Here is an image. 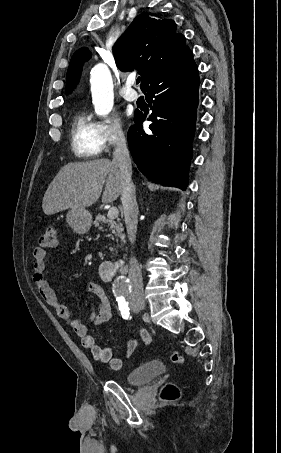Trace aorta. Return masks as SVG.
I'll use <instances>...</instances> for the list:
<instances>
[{"mask_svg":"<svg viewBox=\"0 0 281 453\" xmlns=\"http://www.w3.org/2000/svg\"><path fill=\"white\" fill-rule=\"evenodd\" d=\"M92 102L97 115L105 117L113 108L114 93L111 73L105 64H97L91 70ZM116 291H126L128 284L118 278L114 285Z\"/></svg>","mask_w":281,"mask_h":453,"instance_id":"1","label":"aorta"}]
</instances>
